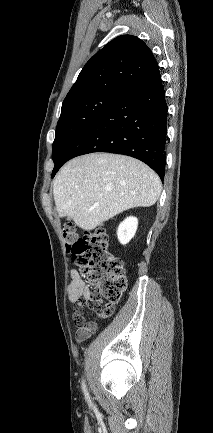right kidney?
<instances>
[{"label":"right kidney","mask_w":213,"mask_h":433,"mask_svg":"<svg viewBox=\"0 0 213 433\" xmlns=\"http://www.w3.org/2000/svg\"><path fill=\"white\" fill-rule=\"evenodd\" d=\"M138 227V219L136 217H128L120 223L117 229V237L121 244H127L135 235Z\"/></svg>","instance_id":"1"}]
</instances>
